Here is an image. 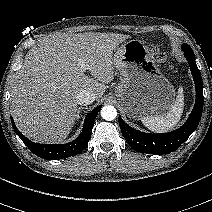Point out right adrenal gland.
<instances>
[{
	"mask_svg": "<svg viewBox=\"0 0 212 212\" xmlns=\"http://www.w3.org/2000/svg\"><path fill=\"white\" fill-rule=\"evenodd\" d=\"M83 109V107H79L78 108V111H77V119H79V113H80V111Z\"/></svg>",
	"mask_w": 212,
	"mask_h": 212,
	"instance_id": "right-adrenal-gland-1",
	"label": "right adrenal gland"
}]
</instances>
